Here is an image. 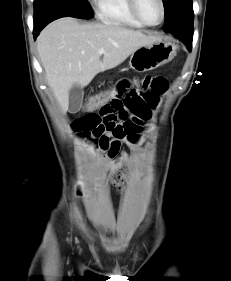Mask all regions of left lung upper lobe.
I'll list each match as a JSON object with an SVG mask.
<instances>
[{"label":"left lung upper lobe","instance_id":"left-lung-upper-lobe-1","mask_svg":"<svg viewBox=\"0 0 231 281\" xmlns=\"http://www.w3.org/2000/svg\"><path fill=\"white\" fill-rule=\"evenodd\" d=\"M165 9L164 30H171L180 24L192 22L194 13L192 0H163Z\"/></svg>","mask_w":231,"mask_h":281}]
</instances>
